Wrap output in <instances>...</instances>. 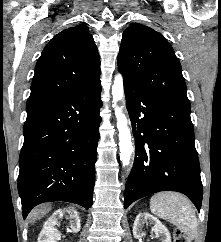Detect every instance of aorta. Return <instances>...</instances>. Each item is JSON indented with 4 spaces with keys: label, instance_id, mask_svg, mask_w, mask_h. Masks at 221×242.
<instances>
[{
    "label": "aorta",
    "instance_id": "1",
    "mask_svg": "<svg viewBox=\"0 0 221 242\" xmlns=\"http://www.w3.org/2000/svg\"><path fill=\"white\" fill-rule=\"evenodd\" d=\"M112 96H113V107L115 110V115L117 118V128L119 131V150H120V160L123 166H128L130 163L131 155L134 151L132 144L131 133L128 127V121L123 113L124 108V86L123 77L121 74L115 76L112 85ZM118 101H123V105L119 107L117 105Z\"/></svg>",
    "mask_w": 221,
    "mask_h": 242
}]
</instances>
